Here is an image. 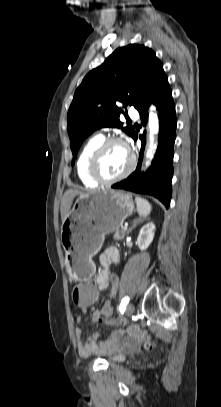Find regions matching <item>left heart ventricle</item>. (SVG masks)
I'll return each instance as SVG.
<instances>
[{
    "instance_id": "left-heart-ventricle-1",
    "label": "left heart ventricle",
    "mask_w": 221,
    "mask_h": 407,
    "mask_svg": "<svg viewBox=\"0 0 221 407\" xmlns=\"http://www.w3.org/2000/svg\"><path fill=\"white\" fill-rule=\"evenodd\" d=\"M130 156L127 149L120 144L109 146L103 153L99 171L105 178H113L120 175L128 167Z\"/></svg>"
}]
</instances>
